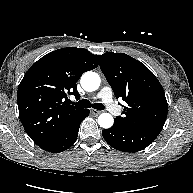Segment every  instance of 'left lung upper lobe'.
I'll list each match as a JSON object with an SVG mask.
<instances>
[{"label": "left lung upper lobe", "mask_w": 193, "mask_h": 193, "mask_svg": "<svg viewBox=\"0 0 193 193\" xmlns=\"http://www.w3.org/2000/svg\"><path fill=\"white\" fill-rule=\"evenodd\" d=\"M100 68L116 98L127 103L114 124L127 130L162 129L168 104L156 76L141 62L124 54L97 55Z\"/></svg>", "instance_id": "1"}]
</instances>
